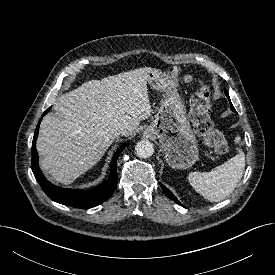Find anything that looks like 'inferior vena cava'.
<instances>
[{
	"mask_svg": "<svg viewBox=\"0 0 275 275\" xmlns=\"http://www.w3.org/2000/svg\"><path fill=\"white\" fill-rule=\"evenodd\" d=\"M116 134L119 135H126L127 134V130L125 128H120Z\"/></svg>",
	"mask_w": 275,
	"mask_h": 275,
	"instance_id": "602c4592",
	"label": "inferior vena cava"
}]
</instances>
